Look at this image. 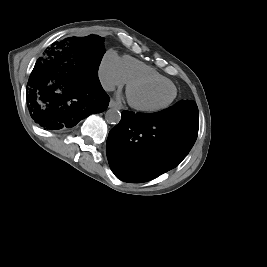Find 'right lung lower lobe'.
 Here are the masks:
<instances>
[{"label":"right lung lower lobe","mask_w":267,"mask_h":267,"mask_svg":"<svg viewBox=\"0 0 267 267\" xmlns=\"http://www.w3.org/2000/svg\"><path fill=\"white\" fill-rule=\"evenodd\" d=\"M98 68L60 43L38 59L27 86L32 119L47 130L67 129L91 114L106 110L109 97Z\"/></svg>","instance_id":"1"}]
</instances>
